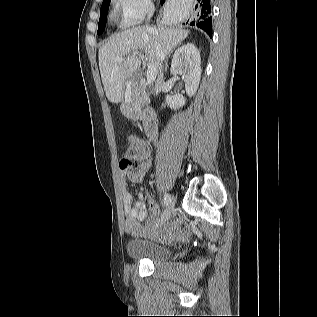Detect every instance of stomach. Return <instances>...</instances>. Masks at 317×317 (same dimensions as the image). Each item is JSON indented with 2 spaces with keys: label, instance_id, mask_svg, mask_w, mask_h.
I'll return each mask as SVG.
<instances>
[{
  "label": "stomach",
  "instance_id": "stomach-1",
  "mask_svg": "<svg viewBox=\"0 0 317 317\" xmlns=\"http://www.w3.org/2000/svg\"><path fill=\"white\" fill-rule=\"evenodd\" d=\"M135 73H140V68H135ZM125 81H126V83H135V81H136V78H135V76H126V78H125Z\"/></svg>",
  "mask_w": 317,
  "mask_h": 317
}]
</instances>
